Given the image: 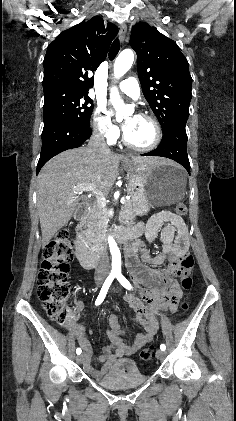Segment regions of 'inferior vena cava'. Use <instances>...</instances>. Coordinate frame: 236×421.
Instances as JSON below:
<instances>
[{
  "label": "inferior vena cava",
  "mask_w": 236,
  "mask_h": 421,
  "mask_svg": "<svg viewBox=\"0 0 236 421\" xmlns=\"http://www.w3.org/2000/svg\"><path fill=\"white\" fill-rule=\"evenodd\" d=\"M88 146L91 148V150H95V152H110V148L107 146L104 140L101 128H94L92 136H90ZM109 269V261H106V259H101L96 269V273H98V275H100V273H109Z\"/></svg>",
  "instance_id": "obj_1"
}]
</instances>
